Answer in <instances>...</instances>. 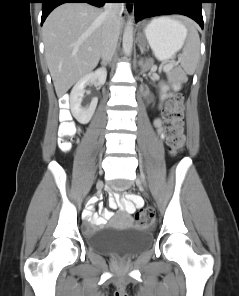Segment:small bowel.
Masks as SVG:
<instances>
[{"label":"small bowel","mask_w":239,"mask_h":296,"mask_svg":"<svg viewBox=\"0 0 239 296\" xmlns=\"http://www.w3.org/2000/svg\"><path fill=\"white\" fill-rule=\"evenodd\" d=\"M173 92L168 90L166 92L165 97H171ZM154 125L157 129V132L164 138L163 133V119L157 118L154 121ZM144 204L143 200L134 194H127L124 197H121L118 193H115L109 198V207L111 209L119 208L122 212L126 214H132L136 207H140ZM85 216H87L88 220L91 221L95 225H103L105 224L112 216V212L107 209H102L100 211V215L95 213H91L90 211H86ZM91 232L90 229H88Z\"/></svg>","instance_id":"c3829d8e"}]
</instances>
